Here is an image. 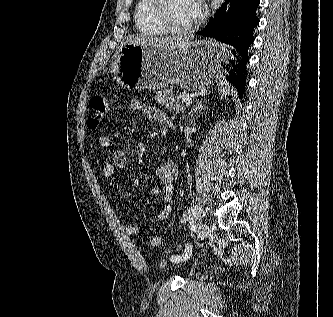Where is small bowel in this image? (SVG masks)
Returning a JSON list of instances; mask_svg holds the SVG:
<instances>
[{
	"label": "small bowel",
	"instance_id": "obj_1",
	"mask_svg": "<svg viewBox=\"0 0 333 317\" xmlns=\"http://www.w3.org/2000/svg\"><path fill=\"white\" fill-rule=\"evenodd\" d=\"M129 106L133 111L140 112L154 121L169 126L172 124L171 119L163 111L156 107L149 106L139 99H132L129 102ZM98 144L104 149H111L113 147L112 140L104 134H100L98 136ZM125 164L126 155L123 151L112 152L109 161L103 166V178L106 180L110 179L115 170L124 167ZM156 174L160 180V184L153 187L150 190V194L152 196H162L164 205L158 214L149 222V226H153L164 221L171 214L173 194L175 191V182L178 177V171L174 161L166 160L157 167ZM125 231L130 235H138L142 232V229L135 225H126Z\"/></svg>",
	"mask_w": 333,
	"mask_h": 317
}]
</instances>
